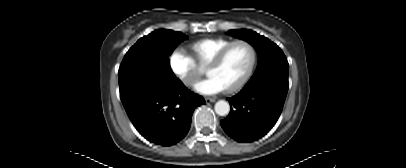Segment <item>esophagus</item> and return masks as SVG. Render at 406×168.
I'll return each mask as SVG.
<instances>
[{"label": "esophagus", "instance_id": "obj_1", "mask_svg": "<svg viewBox=\"0 0 406 168\" xmlns=\"http://www.w3.org/2000/svg\"><path fill=\"white\" fill-rule=\"evenodd\" d=\"M205 101H206V103H213L216 101V99L213 97H205Z\"/></svg>", "mask_w": 406, "mask_h": 168}]
</instances>
